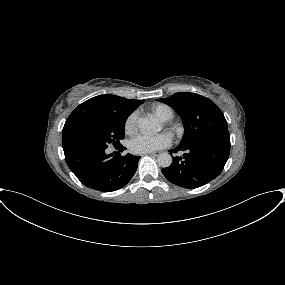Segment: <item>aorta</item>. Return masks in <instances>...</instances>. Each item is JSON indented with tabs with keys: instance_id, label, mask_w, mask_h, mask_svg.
<instances>
[{
	"instance_id": "762f6f07",
	"label": "aorta",
	"mask_w": 285,
	"mask_h": 285,
	"mask_svg": "<svg viewBox=\"0 0 285 285\" xmlns=\"http://www.w3.org/2000/svg\"><path fill=\"white\" fill-rule=\"evenodd\" d=\"M138 126L145 132H157L159 131V125L151 118L143 117L138 120ZM158 164L163 167H169L172 164V157L169 153H161L157 158Z\"/></svg>"
}]
</instances>
